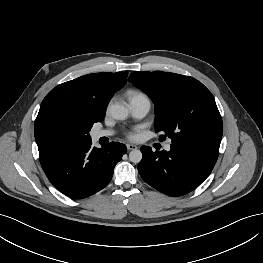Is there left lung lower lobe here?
Wrapping results in <instances>:
<instances>
[{
    "instance_id": "obj_1",
    "label": "left lung lower lobe",
    "mask_w": 263,
    "mask_h": 263,
    "mask_svg": "<svg viewBox=\"0 0 263 263\" xmlns=\"http://www.w3.org/2000/svg\"><path fill=\"white\" fill-rule=\"evenodd\" d=\"M220 144H172L170 151H155L142 146L138 165L142 179L158 191L185 195L198 187L211 173Z\"/></svg>"
}]
</instances>
